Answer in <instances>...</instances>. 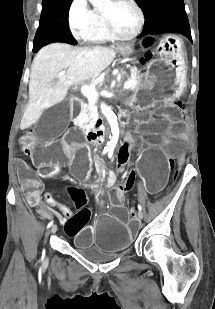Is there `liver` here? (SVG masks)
Returning a JSON list of instances; mask_svg holds the SVG:
<instances>
[{
  "label": "liver",
  "mask_w": 215,
  "mask_h": 309,
  "mask_svg": "<svg viewBox=\"0 0 215 309\" xmlns=\"http://www.w3.org/2000/svg\"><path fill=\"white\" fill-rule=\"evenodd\" d=\"M115 56L116 50L110 46L75 48L64 42H52L40 48L31 66L29 104L21 120V128L30 126L34 114H41L44 108L64 100L71 84L97 78ZM61 70H66V74L53 86V80Z\"/></svg>",
  "instance_id": "6515ba94"
}]
</instances>
